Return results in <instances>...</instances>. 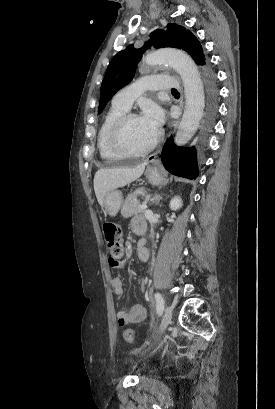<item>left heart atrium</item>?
I'll use <instances>...</instances> for the list:
<instances>
[{"label": "left heart atrium", "mask_w": 275, "mask_h": 409, "mask_svg": "<svg viewBox=\"0 0 275 409\" xmlns=\"http://www.w3.org/2000/svg\"><path fill=\"white\" fill-rule=\"evenodd\" d=\"M142 118L148 127L155 133H158L164 121L163 113L156 105L146 106Z\"/></svg>", "instance_id": "left-heart-atrium-1"}]
</instances>
